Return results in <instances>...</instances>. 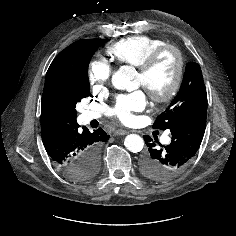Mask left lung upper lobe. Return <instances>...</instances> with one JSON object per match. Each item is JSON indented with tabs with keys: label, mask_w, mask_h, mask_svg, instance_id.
<instances>
[{
	"label": "left lung upper lobe",
	"mask_w": 236,
	"mask_h": 236,
	"mask_svg": "<svg viewBox=\"0 0 236 236\" xmlns=\"http://www.w3.org/2000/svg\"><path fill=\"white\" fill-rule=\"evenodd\" d=\"M207 110V94L199 64L190 62L186 66L180 90L168 108L153 124L155 129H169L184 116Z\"/></svg>",
	"instance_id": "5c2ea615"
}]
</instances>
